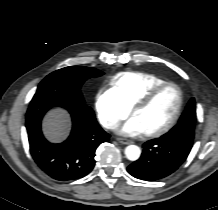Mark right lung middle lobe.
<instances>
[{
	"mask_svg": "<svg viewBox=\"0 0 218 210\" xmlns=\"http://www.w3.org/2000/svg\"><path fill=\"white\" fill-rule=\"evenodd\" d=\"M103 75L91 67L69 66L52 72L38 86L33 98L42 96L69 99L85 104L80 88L85 80Z\"/></svg>",
	"mask_w": 218,
	"mask_h": 210,
	"instance_id": "right-lung-middle-lobe-1",
	"label": "right lung middle lobe"
}]
</instances>
